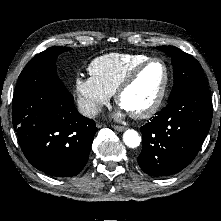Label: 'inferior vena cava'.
<instances>
[{
  "mask_svg": "<svg viewBox=\"0 0 221 221\" xmlns=\"http://www.w3.org/2000/svg\"><path fill=\"white\" fill-rule=\"evenodd\" d=\"M78 103L79 112L86 117L93 118L102 111L101 105L89 99L82 98Z\"/></svg>",
  "mask_w": 221,
  "mask_h": 221,
  "instance_id": "inferior-vena-cava-1",
  "label": "inferior vena cava"
}]
</instances>
